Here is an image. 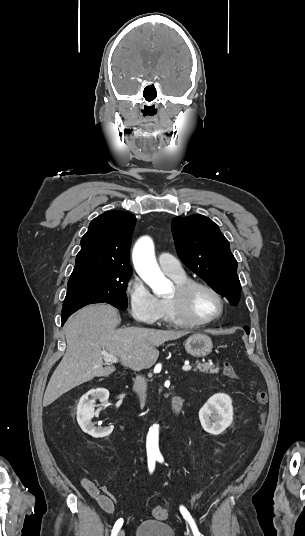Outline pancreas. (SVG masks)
<instances>
[{"label":"pancreas","instance_id":"obj_1","mask_svg":"<svg viewBox=\"0 0 305 536\" xmlns=\"http://www.w3.org/2000/svg\"><path fill=\"white\" fill-rule=\"evenodd\" d=\"M204 372V374H218L219 372V366H213V364H209V362H205V364H198L196 366V370H193V372Z\"/></svg>","mask_w":305,"mask_h":536}]
</instances>
